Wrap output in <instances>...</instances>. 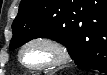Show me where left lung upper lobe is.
I'll list each match as a JSON object with an SVG mask.
<instances>
[{"mask_svg": "<svg viewBox=\"0 0 107 75\" xmlns=\"http://www.w3.org/2000/svg\"><path fill=\"white\" fill-rule=\"evenodd\" d=\"M96 8L88 0H22L12 24L9 48L46 37L64 44L71 57H80L89 50L85 47L87 42L79 38L81 23Z\"/></svg>", "mask_w": 107, "mask_h": 75, "instance_id": "1", "label": "left lung upper lobe"}]
</instances>
